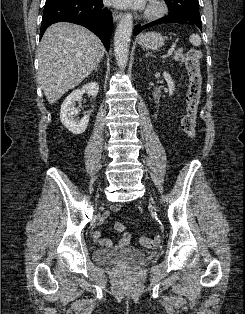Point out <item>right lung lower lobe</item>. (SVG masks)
<instances>
[{"mask_svg":"<svg viewBox=\"0 0 245 314\" xmlns=\"http://www.w3.org/2000/svg\"><path fill=\"white\" fill-rule=\"evenodd\" d=\"M62 21L88 28L109 50L113 20L110 10L104 7L102 0H46L40 38L51 24Z\"/></svg>","mask_w":245,"mask_h":314,"instance_id":"right-lung-lower-lobe-1","label":"right lung lower lobe"}]
</instances>
